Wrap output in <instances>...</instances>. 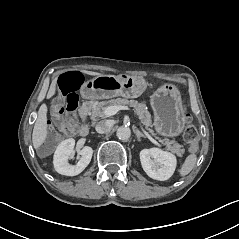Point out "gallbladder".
Wrapping results in <instances>:
<instances>
[{
    "instance_id": "bac80fb5",
    "label": "gallbladder",
    "mask_w": 239,
    "mask_h": 239,
    "mask_svg": "<svg viewBox=\"0 0 239 239\" xmlns=\"http://www.w3.org/2000/svg\"><path fill=\"white\" fill-rule=\"evenodd\" d=\"M45 149H46L45 146H41V147H39L38 150H37L38 155H40V152L43 151V150H45Z\"/></svg>"
}]
</instances>
